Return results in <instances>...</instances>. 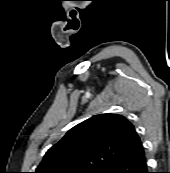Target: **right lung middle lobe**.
<instances>
[{"label":"right lung middle lobe","mask_w":170,"mask_h":173,"mask_svg":"<svg viewBox=\"0 0 170 173\" xmlns=\"http://www.w3.org/2000/svg\"><path fill=\"white\" fill-rule=\"evenodd\" d=\"M72 173H102V171H73Z\"/></svg>","instance_id":"1"}]
</instances>
